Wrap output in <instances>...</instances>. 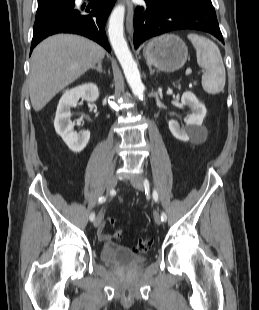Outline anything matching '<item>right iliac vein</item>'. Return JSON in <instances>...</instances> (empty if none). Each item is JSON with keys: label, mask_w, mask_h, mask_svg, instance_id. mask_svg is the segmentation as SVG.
I'll use <instances>...</instances> for the list:
<instances>
[{"label": "right iliac vein", "mask_w": 259, "mask_h": 310, "mask_svg": "<svg viewBox=\"0 0 259 310\" xmlns=\"http://www.w3.org/2000/svg\"><path fill=\"white\" fill-rule=\"evenodd\" d=\"M117 182H118L117 176H111L107 183V192H110L111 190H113L116 187ZM102 218H103V214L102 212H100L97 215L96 219L94 220V227H98L100 225Z\"/></svg>", "instance_id": "right-iliac-vein-1"}]
</instances>
